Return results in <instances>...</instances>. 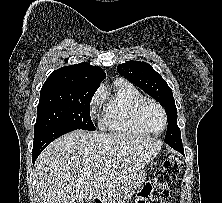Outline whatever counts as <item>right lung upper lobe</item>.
I'll use <instances>...</instances> for the list:
<instances>
[{
	"mask_svg": "<svg viewBox=\"0 0 222 203\" xmlns=\"http://www.w3.org/2000/svg\"><path fill=\"white\" fill-rule=\"evenodd\" d=\"M106 74L99 66L87 62L62 67L55 70L46 80L41 90L48 88L96 89Z\"/></svg>",
	"mask_w": 222,
	"mask_h": 203,
	"instance_id": "obj_1",
	"label": "right lung upper lobe"
}]
</instances>
